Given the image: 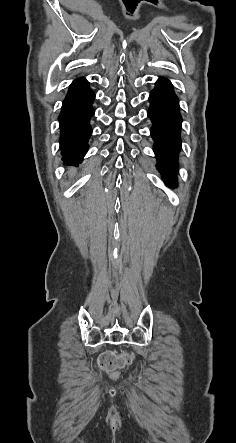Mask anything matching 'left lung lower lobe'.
Returning a JSON list of instances; mask_svg holds the SVG:
<instances>
[{
    "mask_svg": "<svg viewBox=\"0 0 236 443\" xmlns=\"http://www.w3.org/2000/svg\"><path fill=\"white\" fill-rule=\"evenodd\" d=\"M151 103L148 110L153 127L151 135L154 152L158 161V169L169 187H175L177 156L181 148L180 130L182 119L179 113L178 98L173 91L171 82L160 78L149 97Z\"/></svg>",
    "mask_w": 236,
    "mask_h": 443,
    "instance_id": "left-lung-lower-lobe-1",
    "label": "left lung lower lobe"
}]
</instances>
